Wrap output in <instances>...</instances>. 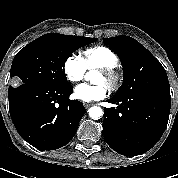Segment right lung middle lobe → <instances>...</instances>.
I'll return each instance as SVG.
<instances>
[{
	"label": "right lung middle lobe",
	"instance_id": "obj_1",
	"mask_svg": "<svg viewBox=\"0 0 178 178\" xmlns=\"http://www.w3.org/2000/svg\"><path fill=\"white\" fill-rule=\"evenodd\" d=\"M96 40L58 33L42 35L16 54L10 77L18 85H67L69 83L64 70L66 60L74 51Z\"/></svg>",
	"mask_w": 178,
	"mask_h": 178
}]
</instances>
